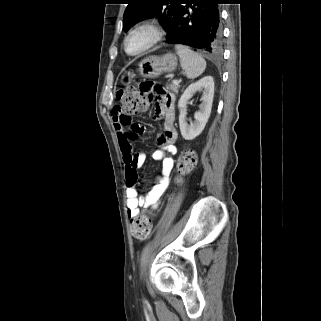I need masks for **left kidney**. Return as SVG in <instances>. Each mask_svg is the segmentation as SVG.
I'll return each mask as SVG.
<instances>
[{"instance_id": "obj_1", "label": "left kidney", "mask_w": 321, "mask_h": 321, "mask_svg": "<svg viewBox=\"0 0 321 321\" xmlns=\"http://www.w3.org/2000/svg\"><path fill=\"white\" fill-rule=\"evenodd\" d=\"M197 91H202V104L200 110L195 113V121L191 124L186 122V105L188 100ZM214 97V80L212 76H205L196 83H192L184 91L178 102L180 109L179 126L181 135L185 140H193L205 128V125L210 117L212 103Z\"/></svg>"}]
</instances>
